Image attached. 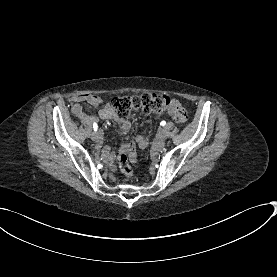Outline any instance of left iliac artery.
I'll list each match as a JSON object with an SVG mask.
<instances>
[{"label":"left iliac artery","mask_w":277,"mask_h":277,"mask_svg":"<svg viewBox=\"0 0 277 277\" xmlns=\"http://www.w3.org/2000/svg\"><path fill=\"white\" fill-rule=\"evenodd\" d=\"M160 125L165 126V125H166V122H165V121H161V122H160Z\"/></svg>","instance_id":"left-iliac-artery-1"}]
</instances>
